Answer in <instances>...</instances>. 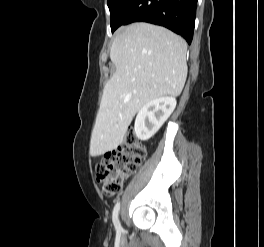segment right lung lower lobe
<instances>
[{"mask_svg": "<svg viewBox=\"0 0 264 247\" xmlns=\"http://www.w3.org/2000/svg\"><path fill=\"white\" fill-rule=\"evenodd\" d=\"M196 7L197 0H131L118 17L117 28L133 22H148L172 30L190 44Z\"/></svg>", "mask_w": 264, "mask_h": 247, "instance_id": "right-lung-lower-lobe-1", "label": "right lung lower lobe"}]
</instances>
